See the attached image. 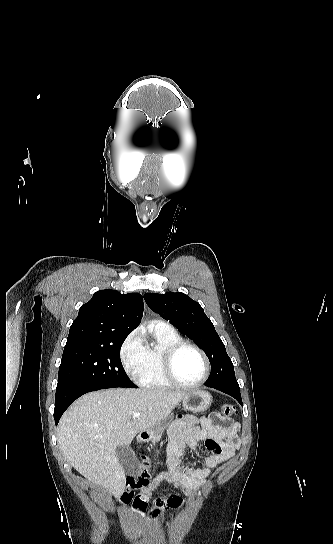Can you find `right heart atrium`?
<instances>
[{"instance_id": "d8ad5b80", "label": "right heart atrium", "mask_w": 333, "mask_h": 544, "mask_svg": "<svg viewBox=\"0 0 333 544\" xmlns=\"http://www.w3.org/2000/svg\"><path fill=\"white\" fill-rule=\"evenodd\" d=\"M144 346L138 331L128 334L121 344L119 359L123 370L128 377L138 381L143 364Z\"/></svg>"}]
</instances>
